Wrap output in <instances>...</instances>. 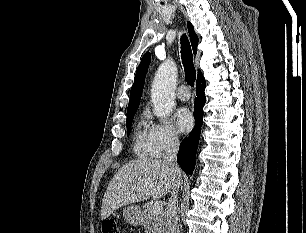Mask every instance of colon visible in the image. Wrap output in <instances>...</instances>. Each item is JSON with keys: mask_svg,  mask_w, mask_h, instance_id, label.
Instances as JSON below:
<instances>
[{"mask_svg": "<svg viewBox=\"0 0 306 233\" xmlns=\"http://www.w3.org/2000/svg\"><path fill=\"white\" fill-rule=\"evenodd\" d=\"M101 233H118L116 222H105L101 227Z\"/></svg>", "mask_w": 306, "mask_h": 233, "instance_id": "1", "label": "colon"}]
</instances>
